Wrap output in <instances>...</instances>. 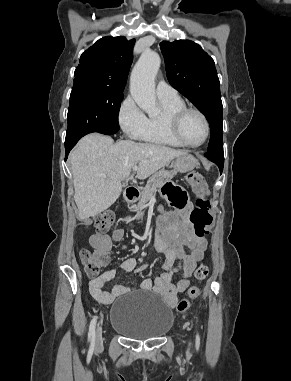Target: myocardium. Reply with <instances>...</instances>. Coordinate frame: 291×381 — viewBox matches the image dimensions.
Segmentation results:
<instances>
[{"label": "myocardium", "instance_id": "myocardium-1", "mask_svg": "<svg viewBox=\"0 0 291 381\" xmlns=\"http://www.w3.org/2000/svg\"><path fill=\"white\" fill-rule=\"evenodd\" d=\"M188 113L198 114L202 118L204 125H205V135H204L202 141L198 144L188 143L183 138L181 131H180L181 121H182L183 117ZM167 125H168L169 132L174 137V139H176L183 146L189 147V148L201 147L203 144H205V142L207 141V139L209 138V135H210V123H209L207 116L201 110H199L198 108H194V107H186L185 106L181 109H178V110L170 113L167 117Z\"/></svg>", "mask_w": 291, "mask_h": 381}]
</instances>
